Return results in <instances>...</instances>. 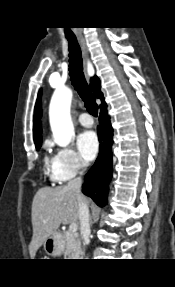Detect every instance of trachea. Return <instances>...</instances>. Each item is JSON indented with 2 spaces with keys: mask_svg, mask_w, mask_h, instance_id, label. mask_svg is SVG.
Here are the masks:
<instances>
[{
  "mask_svg": "<svg viewBox=\"0 0 175 287\" xmlns=\"http://www.w3.org/2000/svg\"><path fill=\"white\" fill-rule=\"evenodd\" d=\"M69 46V75L75 90L78 92L90 114L97 117L98 105L88 86L83 73L81 49L75 36H66Z\"/></svg>",
  "mask_w": 175,
  "mask_h": 287,
  "instance_id": "trachea-1",
  "label": "trachea"
}]
</instances>
